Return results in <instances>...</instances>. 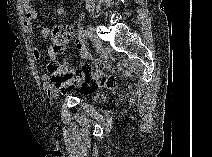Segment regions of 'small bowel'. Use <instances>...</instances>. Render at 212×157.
Listing matches in <instances>:
<instances>
[{"instance_id": "1", "label": "small bowel", "mask_w": 212, "mask_h": 157, "mask_svg": "<svg viewBox=\"0 0 212 157\" xmlns=\"http://www.w3.org/2000/svg\"><path fill=\"white\" fill-rule=\"evenodd\" d=\"M20 5H21V10H22L23 28L30 37L36 39V34L34 33V30H33V21L37 17V12L35 9L32 8L31 3L28 0L21 1ZM55 14L58 17H62L65 14V9L62 6H58L55 10ZM49 35H50V28L47 26L43 27L41 29V36L44 38H47ZM75 48L80 53L87 52L86 45L80 39L75 42ZM47 53L51 60L56 59V54L52 47L48 48ZM41 56H42L41 49L38 47H35L33 50L34 59L39 60L41 58ZM84 66H88V65H84ZM91 74L94 75V74H96V72L91 71ZM41 81L43 83V89H44L45 93L50 98H55L58 94V90H57L58 88L54 87L53 84L51 83L50 75L48 73L42 74Z\"/></svg>"}]
</instances>
